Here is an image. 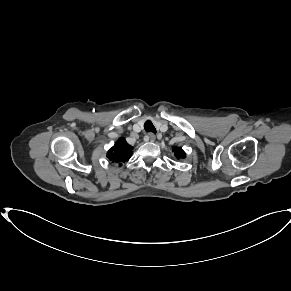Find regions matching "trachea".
Masks as SVG:
<instances>
[{"mask_svg": "<svg viewBox=\"0 0 291 291\" xmlns=\"http://www.w3.org/2000/svg\"><path fill=\"white\" fill-rule=\"evenodd\" d=\"M144 129H145L146 132H152V133L156 134V129H155L153 123L150 120H147L144 123Z\"/></svg>", "mask_w": 291, "mask_h": 291, "instance_id": "obj_1", "label": "trachea"}]
</instances>
